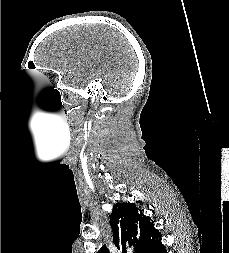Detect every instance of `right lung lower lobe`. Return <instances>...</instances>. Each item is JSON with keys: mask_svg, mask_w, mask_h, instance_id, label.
I'll return each mask as SVG.
<instances>
[{"mask_svg": "<svg viewBox=\"0 0 229 253\" xmlns=\"http://www.w3.org/2000/svg\"><path fill=\"white\" fill-rule=\"evenodd\" d=\"M148 253H167V250L160 240Z\"/></svg>", "mask_w": 229, "mask_h": 253, "instance_id": "right-lung-lower-lobe-1", "label": "right lung lower lobe"}]
</instances>
